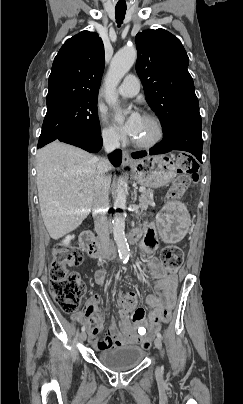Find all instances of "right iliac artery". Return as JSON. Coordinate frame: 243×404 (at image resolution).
Returning <instances> with one entry per match:
<instances>
[{"label": "right iliac artery", "mask_w": 243, "mask_h": 404, "mask_svg": "<svg viewBox=\"0 0 243 404\" xmlns=\"http://www.w3.org/2000/svg\"><path fill=\"white\" fill-rule=\"evenodd\" d=\"M81 330H82V332L85 331V327L83 326V327L81 328Z\"/></svg>", "instance_id": "obj_1"}]
</instances>
